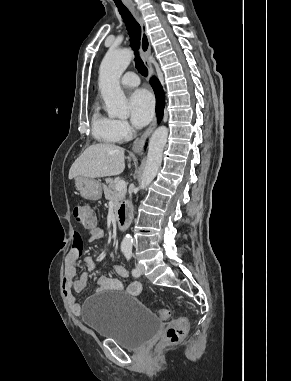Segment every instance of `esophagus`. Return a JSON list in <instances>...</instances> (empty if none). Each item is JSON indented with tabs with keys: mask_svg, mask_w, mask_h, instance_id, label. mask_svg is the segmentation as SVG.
Wrapping results in <instances>:
<instances>
[{
	"mask_svg": "<svg viewBox=\"0 0 291 381\" xmlns=\"http://www.w3.org/2000/svg\"><path fill=\"white\" fill-rule=\"evenodd\" d=\"M126 5L129 8V10L134 14L135 18L137 19L138 23L140 24V27H141V56H142V59H143L145 65L147 66V68L149 70L150 75L152 76L153 75V67L151 65V62L149 61L150 40H149V37H148L147 32H146L145 22H144L142 16L140 15V13L136 10L135 5L133 3L127 2ZM156 123H157V119L154 118V120L151 122L149 127L143 133V135L133 143L132 149L134 152H136V153L141 152V150L143 149V147L146 143L147 138L149 137V135L151 134V132L155 128Z\"/></svg>",
	"mask_w": 291,
	"mask_h": 381,
	"instance_id": "obj_1",
	"label": "esophagus"
}]
</instances>
